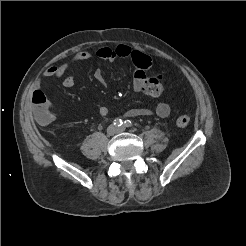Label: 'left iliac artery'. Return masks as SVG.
<instances>
[{
    "instance_id": "obj_1",
    "label": "left iliac artery",
    "mask_w": 246,
    "mask_h": 246,
    "mask_svg": "<svg viewBox=\"0 0 246 246\" xmlns=\"http://www.w3.org/2000/svg\"><path fill=\"white\" fill-rule=\"evenodd\" d=\"M124 126L125 127H131L132 126V122L130 120H125L124 121Z\"/></svg>"
}]
</instances>
